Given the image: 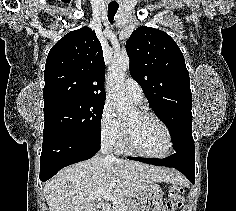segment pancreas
<instances>
[{"label": "pancreas", "instance_id": "obj_1", "mask_svg": "<svg viewBox=\"0 0 236 211\" xmlns=\"http://www.w3.org/2000/svg\"><path fill=\"white\" fill-rule=\"evenodd\" d=\"M122 203L126 206V211H138L137 210V203L135 200L131 198H121ZM112 211H120L119 206L116 205L114 210Z\"/></svg>", "mask_w": 236, "mask_h": 211}]
</instances>
